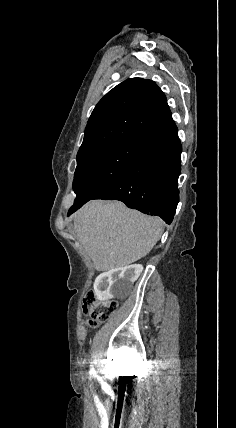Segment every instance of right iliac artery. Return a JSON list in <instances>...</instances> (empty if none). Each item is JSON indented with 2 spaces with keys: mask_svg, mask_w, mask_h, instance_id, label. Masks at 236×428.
Returning <instances> with one entry per match:
<instances>
[{
  "mask_svg": "<svg viewBox=\"0 0 236 428\" xmlns=\"http://www.w3.org/2000/svg\"><path fill=\"white\" fill-rule=\"evenodd\" d=\"M92 368L90 369V373H96L95 369L93 366H91Z\"/></svg>",
  "mask_w": 236,
  "mask_h": 428,
  "instance_id": "1",
  "label": "right iliac artery"
}]
</instances>
